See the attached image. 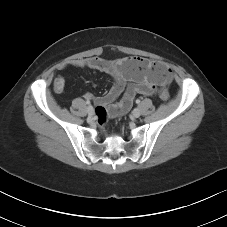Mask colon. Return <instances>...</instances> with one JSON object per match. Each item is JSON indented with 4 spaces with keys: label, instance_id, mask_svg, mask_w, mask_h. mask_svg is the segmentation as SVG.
Instances as JSON below:
<instances>
[{
    "label": "colon",
    "instance_id": "1",
    "mask_svg": "<svg viewBox=\"0 0 227 227\" xmlns=\"http://www.w3.org/2000/svg\"><path fill=\"white\" fill-rule=\"evenodd\" d=\"M152 67L162 72L165 76H170L169 69L163 63L152 62ZM159 97L162 100L167 101L170 98L169 91L166 88H161L159 91ZM107 114L108 112L104 106L99 105L96 107L95 110L96 120L101 126H104L106 124Z\"/></svg>",
    "mask_w": 227,
    "mask_h": 227
}]
</instances>
